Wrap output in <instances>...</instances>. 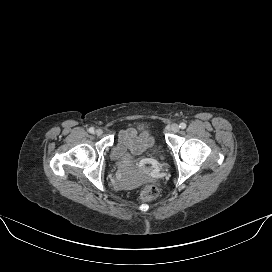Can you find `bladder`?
I'll list each match as a JSON object with an SVG mask.
<instances>
[{
    "label": "bladder",
    "mask_w": 272,
    "mask_h": 272,
    "mask_svg": "<svg viewBox=\"0 0 272 272\" xmlns=\"http://www.w3.org/2000/svg\"><path fill=\"white\" fill-rule=\"evenodd\" d=\"M111 160H112L114 163H117V162L119 161L118 156H117V152H116V149H115V148L112 150Z\"/></svg>",
    "instance_id": "obj_1"
}]
</instances>
